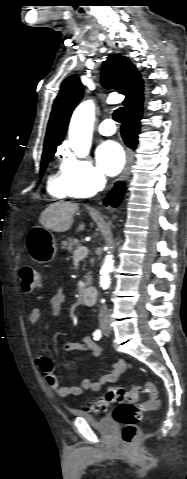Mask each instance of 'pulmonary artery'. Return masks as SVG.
Listing matches in <instances>:
<instances>
[{
  "instance_id": "pulmonary-artery-1",
  "label": "pulmonary artery",
  "mask_w": 187,
  "mask_h": 479,
  "mask_svg": "<svg viewBox=\"0 0 187 479\" xmlns=\"http://www.w3.org/2000/svg\"><path fill=\"white\" fill-rule=\"evenodd\" d=\"M100 134L104 136H111L115 133L116 127L112 119L104 120L98 127Z\"/></svg>"
}]
</instances>
